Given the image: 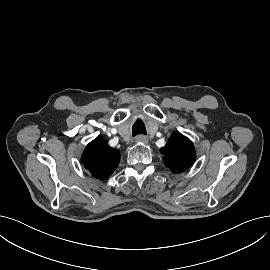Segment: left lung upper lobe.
I'll return each mask as SVG.
<instances>
[{
	"label": "left lung upper lobe",
	"mask_w": 270,
	"mask_h": 270,
	"mask_svg": "<svg viewBox=\"0 0 270 270\" xmlns=\"http://www.w3.org/2000/svg\"><path fill=\"white\" fill-rule=\"evenodd\" d=\"M160 152L164 155V163L173 173H182L195 160L193 143L179 132L171 135L167 144L160 149Z\"/></svg>",
	"instance_id": "obj_1"
}]
</instances>
